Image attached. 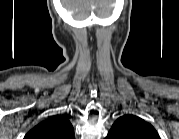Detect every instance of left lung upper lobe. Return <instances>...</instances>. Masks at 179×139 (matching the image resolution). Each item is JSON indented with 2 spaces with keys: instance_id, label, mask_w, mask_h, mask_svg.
Segmentation results:
<instances>
[{
  "instance_id": "1",
  "label": "left lung upper lobe",
  "mask_w": 179,
  "mask_h": 139,
  "mask_svg": "<svg viewBox=\"0 0 179 139\" xmlns=\"http://www.w3.org/2000/svg\"><path fill=\"white\" fill-rule=\"evenodd\" d=\"M109 139H159L154 127L134 115H123L112 125Z\"/></svg>"
}]
</instances>
